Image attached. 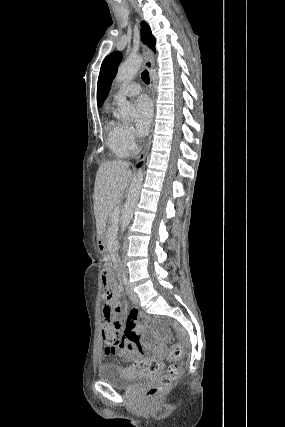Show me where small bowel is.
I'll return each mask as SVG.
<instances>
[{
    "label": "small bowel",
    "instance_id": "c3829d8e",
    "mask_svg": "<svg viewBox=\"0 0 285 427\" xmlns=\"http://www.w3.org/2000/svg\"><path fill=\"white\" fill-rule=\"evenodd\" d=\"M114 310L110 311L105 304L102 306V325L113 324L118 328H123V337L121 339V347L115 353L124 361H129L138 358L141 354L135 350L134 344L136 340L137 322L134 317L125 321L113 319V314H119L122 311V306L118 301V295L114 296ZM133 313H136L134 311Z\"/></svg>",
    "mask_w": 285,
    "mask_h": 427
}]
</instances>
